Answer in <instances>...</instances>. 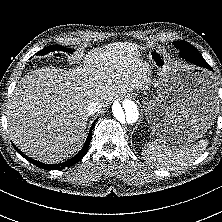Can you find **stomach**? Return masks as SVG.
<instances>
[{
  "mask_svg": "<svg viewBox=\"0 0 222 222\" xmlns=\"http://www.w3.org/2000/svg\"><path fill=\"white\" fill-rule=\"evenodd\" d=\"M147 57L158 75L157 95L145 103L152 134L171 144L203 137L218 113L211 75L194 67L174 68L159 47L151 48Z\"/></svg>",
  "mask_w": 222,
  "mask_h": 222,
  "instance_id": "stomach-1",
  "label": "stomach"
}]
</instances>
